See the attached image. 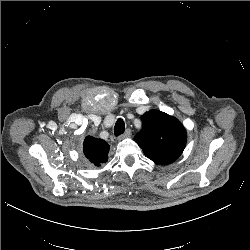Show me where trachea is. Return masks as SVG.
<instances>
[{
	"label": "trachea",
	"instance_id": "3493384b",
	"mask_svg": "<svg viewBox=\"0 0 250 250\" xmlns=\"http://www.w3.org/2000/svg\"><path fill=\"white\" fill-rule=\"evenodd\" d=\"M124 131H125V123H124L123 119L119 118L115 124V127H114V134L117 137V136L123 134Z\"/></svg>",
	"mask_w": 250,
	"mask_h": 250
}]
</instances>
